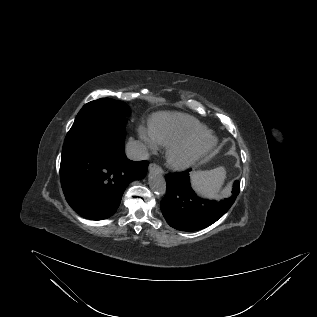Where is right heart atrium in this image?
Instances as JSON below:
<instances>
[{"label": "right heart atrium", "mask_w": 317, "mask_h": 317, "mask_svg": "<svg viewBox=\"0 0 317 317\" xmlns=\"http://www.w3.org/2000/svg\"><path fill=\"white\" fill-rule=\"evenodd\" d=\"M138 136L144 146V148L148 151H155L158 148V143L155 140L150 127H146L144 125H140L137 128Z\"/></svg>", "instance_id": "right-heart-atrium-1"}]
</instances>
